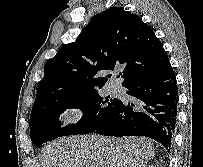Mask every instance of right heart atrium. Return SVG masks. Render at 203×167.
Listing matches in <instances>:
<instances>
[{
  "mask_svg": "<svg viewBox=\"0 0 203 167\" xmlns=\"http://www.w3.org/2000/svg\"><path fill=\"white\" fill-rule=\"evenodd\" d=\"M84 116V109L82 106L72 104L65 107L62 111V120L66 124H75Z\"/></svg>",
  "mask_w": 203,
  "mask_h": 167,
  "instance_id": "right-heart-atrium-1",
  "label": "right heart atrium"
}]
</instances>
